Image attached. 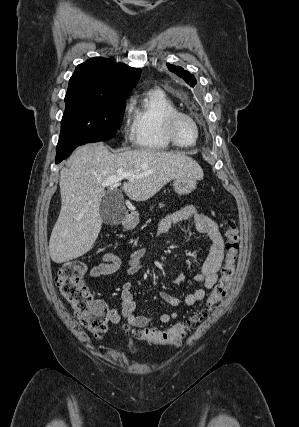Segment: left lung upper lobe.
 <instances>
[{
	"label": "left lung upper lobe",
	"mask_w": 299,
	"mask_h": 427,
	"mask_svg": "<svg viewBox=\"0 0 299 427\" xmlns=\"http://www.w3.org/2000/svg\"><path fill=\"white\" fill-rule=\"evenodd\" d=\"M168 69L181 77L191 87H194L196 84L195 77L190 72L184 70L182 67L168 64Z\"/></svg>",
	"instance_id": "1"
}]
</instances>
